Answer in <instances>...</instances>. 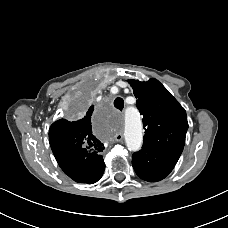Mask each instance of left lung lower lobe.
<instances>
[{"label":"left lung lower lobe","instance_id":"0a47b994","mask_svg":"<svg viewBox=\"0 0 228 228\" xmlns=\"http://www.w3.org/2000/svg\"><path fill=\"white\" fill-rule=\"evenodd\" d=\"M181 154L142 147L132 155V165L136 174L148 182L164 179L174 168Z\"/></svg>","mask_w":228,"mask_h":228}]
</instances>
